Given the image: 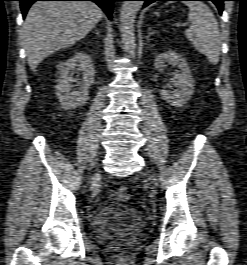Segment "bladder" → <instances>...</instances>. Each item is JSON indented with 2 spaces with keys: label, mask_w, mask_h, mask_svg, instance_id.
I'll list each match as a JSON object with an SVG mask.
<instances>
[{
  "label": "bladder",
  "mask_w": 247,
  "mask_h": 265,
  "mask_svg": "<svg viewBox=\"0 0 247 265\" xmlns=\"http://www.w3.org/2000/svg\"><path fill=\"white\" fill-rule=\"evenodd\" d=\"M141 215L124 205H111L101 209L94 222L93 232L101 238L125 235L139 227Z\"/></svg>",
  "instance_id": "31cf9c89"
}]
</instances>
